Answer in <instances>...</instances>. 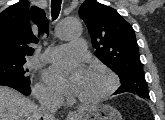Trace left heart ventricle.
I'll list each match as a JSON object with an SVG mask.
<instances>
[{
	"label": "left heart ventricle",
	"instance_id": "b2bd125f",
	"mask_svg": "<svg viewBox=\"0 0 165 120\" xmlns=\"http://www.w3.org/2000/svg\"><path fill=\"white\" fill-rule=\"evenodd\" d=\"M108 84L109 79L103 72L87 70L76 95L80 98L95 97L101 94L108 87Z\"/></svg>",
	"mask_w": 165,
	"mask_h": 120
}]
</instances>
